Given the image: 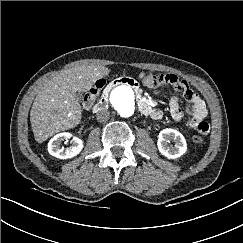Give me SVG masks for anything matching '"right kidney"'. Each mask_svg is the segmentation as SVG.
Instances as JSON below:
<instances>
[{"mask_svg": "<svg viewBox=\"0 0 243 243\" xmlns=\"http://www.w3.org/2000/svg\"><path fill=\"white\" fill-rule=\"evenodd\" d=\"M71 134L63 132L55 135L48 143V152L50 155L59 159H69L78 155L83 149V141L77 137H73L72 145L68 148H60L62 141L71 138Z\"/></svg>", "mask_w": 243, "mask_h": 243, "instance_id": "1", "label": "right kidney"}]
</instances>
